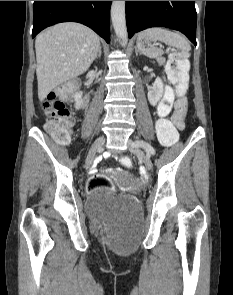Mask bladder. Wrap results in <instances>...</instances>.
<instances>
[{
  "instance_id": "bladder-1",
  "label": "bladder",
  "mask_w": 233,
  "mask_h": 295,
  "mask_svg": "<svg viewBox=\"0 0 233 295\" xmlns=\"http://www.w3.org/2000/svg\"><path fill=\"white\" fill-rule=\"evenodd\" d=\"M87 206L97 215L140 212V204L133 196H121L109 201H97L94 197L88 200Z\"/></svg>"
}]
</instances>
